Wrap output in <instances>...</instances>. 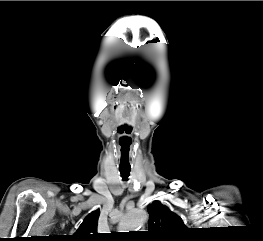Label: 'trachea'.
<instances>
[{"label":"trachea","instance_id":"3493384b","mask_svg":"<svg viewBox=\"0 0 263 241\" xmlns=\"http://www.w3.org/2000/svg\"><path fill=\"white\" fill-rule=\"evenodd\" d=\"M121 177L124 181L128 180V177L130 175V169H119Z\"/></svg>","mask_w":263,"mask_h":241}]
</instances>
